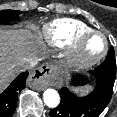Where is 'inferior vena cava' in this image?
Returning a JSON list of instances; mask_svg holds the SVG:
<instances>
[{"mask_svg":"<svg viewBox=\"0 0 117 117\" xmlns=\"http://www.w3.org/2000/svg\"><path fill=\"white\" fill-rule=\"evenodd\" d=\"M38 60L37 59H27L25 61H23L20 65H19V69L20 71H26L29 70L33 67H35L37 65Z\"/></svg>","mask_w":117,"mask_h":117,"instance_id":"1","label":"inferior vena cava"}]
</instances>
